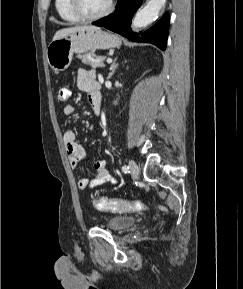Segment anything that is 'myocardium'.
I'll return each mask as SVG.
<instances>
[{"mask_svg":"<svg viewBox=\"0 0 243 289\" xmlns=\"http://www.w3.org/2000/svg\"><path fill=\"white\" fill-rule=\"evenodd\" d=\"M70 1V8L72 12L80 19L85 21H94L98 19H102L108 16L114 9V0H109L108 5L105 10L98 14L88 15L86 14L80 5V0H69Z\"/></svg>","mask_w":243,"mask_h":289,"instance_id":"1","label":"myocardium"}]
</instances>
